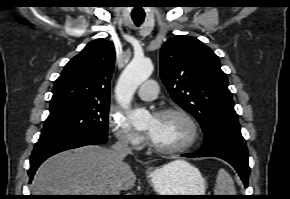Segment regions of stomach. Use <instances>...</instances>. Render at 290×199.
Segmentation results:
<instances>
[{"label": "stomach", "mask_w": 290, "mask_h": 199, "mask_svg": "<svg viewBox=\"0 0 290 199\" xmlns=\"http://www.w3.org/2000/svg\"><path fill=\"white\" fill-rule=\"evenodd\" d=\"M147 172V178L158 195H205L206 182L200 171L191 164L176 160ZM168 198L196 199L199 196H174Z\"/></svg>", "instance_id": "obj_1"}]
</instances>
